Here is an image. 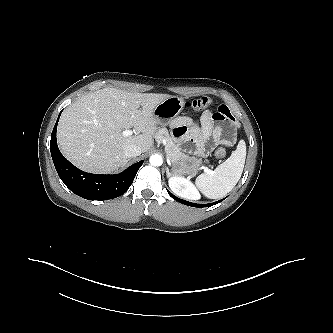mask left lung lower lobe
Masks as SVG:
<instances>
[{
  "label": "left lung lower lobe",
  "instance_id": "1",
  "mask_svg": "<svg viewBox=\"0 0 333 333\" xmlns=\"http://www.w3.org/2000/svg\"><path fill=\"white\" fill-rule=\"evenodd\" d=\"M168 193H169V195L173 198V199H175L176 201H178V202H180V203H182V204H185V205H189V206H192V207H209V206H212V205H215V204H217V203H219V202H221V201H223L224 199H222V200H219V201H217V202H214V203H210V204H196V203H192V202H188V201H185V200H182V199H179V198H177L176 196H174L173 194H171L169 191H168Z\"/></svg>",
  "mask_w": 333,
  "mask_h": 333
}]
</instances>
